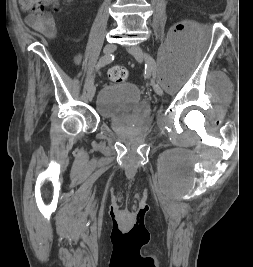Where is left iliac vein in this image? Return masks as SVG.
Listing matches in <instances>:
<instances>
[{"label": "left iliac vein", "mask_w": 253, "mask_h": 267, "mask_svg": "<svg viewBox=\"0 0 253 267\" xmlns=\"http://www.w3.org/2000/svg\"><path fill=\"white\" fill-rule=\"evenodd\" d=\"M127 51L138 61V62H142V61H146L147 57L149 56V54L145 53L139 46H132V47H128ZM150 72L152 71L151 69L149 70ZM150 74H148L149 76ZM154 91L156 92V94L162 96L163 95V89L158 85V84H154Z\"/></svg>", "instance_id": "left-iliac-vein-1"}]
</instances>
